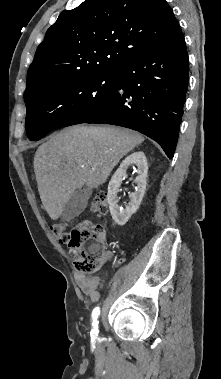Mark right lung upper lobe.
I'll use <instances>...</instances> for the list:
<instances>
[{"label":"right lung upper lobe","instance_id":"1","mask_svg":"<svg viewBox=\"0 0 221 379\" xmlns=\"http://www.w3.org/2000/svg\"><path fill=\"white\" fill-rule=\"evenodd\" d=\"M179 30L165 0H85L47 30L28 70L25 103L62 82L118 69Z\"/></svg>","mask_w":221,"mask_h":379}]
</instances>
